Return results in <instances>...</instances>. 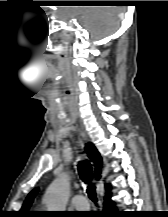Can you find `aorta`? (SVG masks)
Here are the masks:
<instances>
[{"label": "aorta", "instance_id": "aorta-1", "mask_svg": "<svg viewBox=\"0 0 168 217\" xmlns=\"http://www.w3.org/2000/svg\"><path fill=\"white\" fill-rule=\"evenodd\" d=\"M70 182L67 174L57 177L48 187L44 203L48 211H65L69 196Z\"/></svg>", "mask_w": 168, "mask_h": 217}]
</instances>
